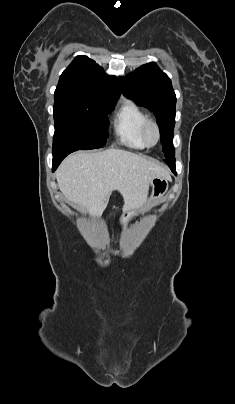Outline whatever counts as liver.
<instances>
[{
  "mask_svg": "<svg viewBox=\"0 0 235 404\" xmlns=\"http://www.w3.org/2000/svg\"><path fill=\"white\" fill-rule=\"evenodd\" d=\"M155 177L171 179L157 163L113 148L72 154L56 172L58 187L67 200L93 216L103 213L114 190L123 197L124 213L138 209L146 202Z\"/></svg>",
  "mask_w": 235,
  "mask_h": 404,
  "instance_id": "obj_1",
  "label": "liver"
}]
</instances>
